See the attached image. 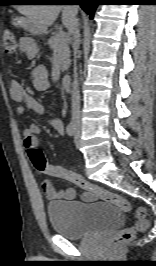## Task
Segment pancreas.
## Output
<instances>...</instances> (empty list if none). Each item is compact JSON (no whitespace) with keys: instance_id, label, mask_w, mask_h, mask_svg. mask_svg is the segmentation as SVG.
I'll list each match as a JSON object with an SVG mask.
<instances>
[{"instance_id":"1","label":"pancreas","mask_w":156,"mask_h":266,"mask_svg":"<svg viewBox=\"0 0 156 266\" xmlns=\"http://www.w3.org/2000/svg\"><path fill=\"white\" fill-rule=\"evenodd\" d=\"M69 43L70 40L68 37L61 38L58 33L54 34L48 40V45L60 59L62 72L66 71L71 63Z\"/></svg>"}]
</instances>
